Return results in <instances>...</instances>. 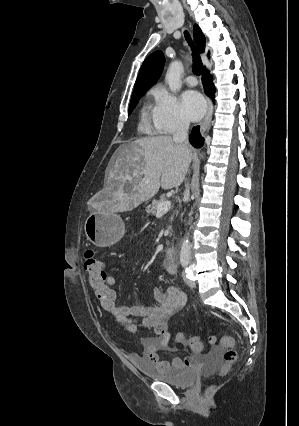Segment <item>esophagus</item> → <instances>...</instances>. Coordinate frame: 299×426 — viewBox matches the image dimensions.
Instances as JSON below:
<instances>
[{"label":"esophagus","mask_w":299,"mask_h":426,"mask_svg":"<svg viewBox=\"0 0 299 426\" xmlns=\"http://www.w3.org/2000/svg\"><path fill=\"white\" fill-rule=\"evenodd\" d=\"M207 105L208 106H207L206 116H205L204 120L201 122L202 128H204L205 126L208 125V123L210 122L211 117H212L213 103H212V100L209 97H207Z\"/></svg>","instance_id":"34e87169"}]
</instances>
